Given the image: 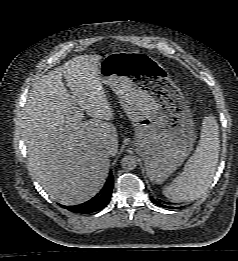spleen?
I'll use <instances>...</instances> for the list:
<instances>
[{
    "label": "spleen",
    "mask_w": 238,
    "mask_h": 261,
    "mask_svg": "<svg viewBox=\"0 0 238 261\" xmlns=\"http://www.w3.org/2000/svg\"><path fill=\"white\" fill-rule=\"evenodd\" d=\"M220 149L219 127L214 116H206L202 123L199 144L180 173L163 194L173 202L200 198L210 187L218 163Z\"/></svg>",
    "instance_id": "spleen-1"
}]
</instances>
